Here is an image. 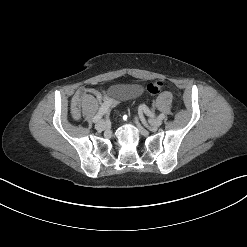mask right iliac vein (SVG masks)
<instances>
[{
	"label": "right iliac vein",
	"mask_w": 247,
	"mask_h": 247,
	"mask_svg": "<svg viewBox=\"0 0 247 247\" xmlns=\"http://www.w3.org/2000/svg\"><path fill=\"white\" fill-rule=\"evenodd\" d=\"M107 127V124L105 121L101 120L99 121L96 125H95V128L98 130V131H103L105 130Z\"/></svg>",
	"instance_id": "63e3f726"
}]
</instances>
